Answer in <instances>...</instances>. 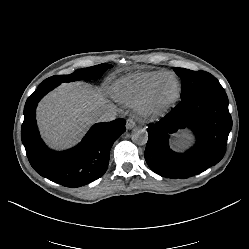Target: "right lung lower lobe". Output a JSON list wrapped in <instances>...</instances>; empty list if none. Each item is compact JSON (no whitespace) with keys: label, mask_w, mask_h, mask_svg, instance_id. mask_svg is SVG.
Segmentation results:
<instances>
[{"label":"right lung lower lobe","mask_w":249,"mask_h":249,"mask_svg":"<svg viewBox=\"0 0 249 249\" xmlns=\"http://www.w3.org/2000/svg\"><path fill=\"white\" fill-rule=\"evenodd\" d=\"M57 84L39 85L24 106L21 138L32 167L43 177L66 187H79L100 178L107 170L113 143L125 131L126 121L94 124L82 141L66 151L49 149L36 124L38 102Z\"/></svg>","instance_id":"98d812e1"}]
</instances>
